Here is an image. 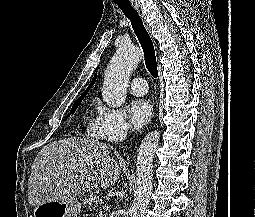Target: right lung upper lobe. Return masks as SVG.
<instances>
[{"label": "right lung upper lobe", "instance_id": "1", "mask_svg": "<svg viewBox=\"0 0 255 217\" xmlns=\"http://www.w3.org/2000/svg\"><path fill=\"white\" fill-rule=\"evenodd\" d=\"M96 75H97V74H95V76L93 77V79H92L91 83L89 84L88 88L86 89V91H85L84 93H82V95L87 94L88 91H89V89H90V87H92V86L94 85L95 80H96ZM82 95H81V96H82ZM81 96H80V97H81Z\"/></svg>", "mask_w": 255, "mask_h": 217}]
</instances>
